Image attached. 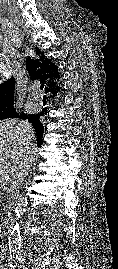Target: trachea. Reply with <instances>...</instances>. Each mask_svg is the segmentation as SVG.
<instances>
[{"label": "trachea", "instance_id": "1", "mask_svg": "<svg viewBox=\"0 0 118 269\" xmlns=\"http://www.w3.org/2000/svg\"><path fill=\"white\" fill-rule=\"evenodd\" d=\"M40 89L43 90L44 89V84L40 85Z\"/></svg>", "mask_w": 118, "mask_h": 269}]
</instances>
